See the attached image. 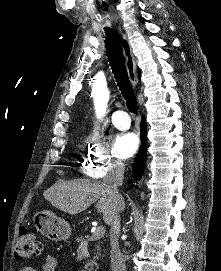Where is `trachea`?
<instances>
[{
    "label": "trachea",
    "mask_w": 221,
    "mask_h": 271,
    "mask_svg": "<svg viewBox=\"0 0 221 271\" xmlns=\"http://www.w3.org/2000/svg\"><path fill=\"white\" fill-rule=\"evenodd\" d=\"M106 52L115 76L117 85L126 100V106L131 113L137 114V100L132 85L130 83L127 69L125 66V57L121 47V39L112 28H106Z\"/></svg>",
    "instance_id": "obj_1"
}]
</instances>
